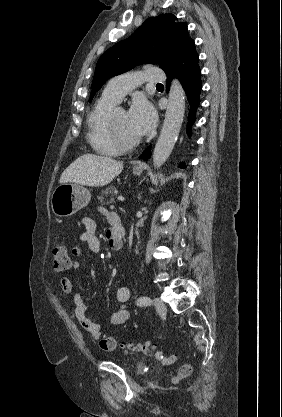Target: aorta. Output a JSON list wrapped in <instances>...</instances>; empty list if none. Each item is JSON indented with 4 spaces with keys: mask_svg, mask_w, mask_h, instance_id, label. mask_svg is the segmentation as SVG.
<instances>
[{
    "mask_svg": "<svg viewBox=\"0 0 282 417\" xmlns=\"http://www.w3.org/2000/svg\"><path fill=\"white\" fill-rule=\"evenodd\" d=\"M185 100V90L182 84H180L178 78H173L169 90L164 124L153 152V164L155 168H159V166H162L166 162L174 148L183 122Z\"/></svg>",
    "mask_w": 282,
    "mask_h": 417,
    "instance_id": "1",
    "label": "aorta"
}]
</instances>
